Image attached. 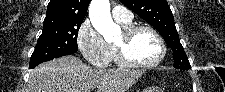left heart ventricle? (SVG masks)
Returning <instances> with one entry per match:
<instances>
[{"label": "left heart ventricle", "mask_w": 225, "mask_h": 92, "mask_svg": "<svg viewBox=\"0 0 225 92\" xmlns=\"http://www.w3.org/2000/svg\"><path fill=\"white\" fill-rule=\"evenodd\" d=\"M122 35L116 43H120ZM130 56L140 63H150L156 60L160 54V46L154 35L147 31L137 32L131 40L128 48Z\"/></svg>", "instance_id": "1"}]
</instances>
